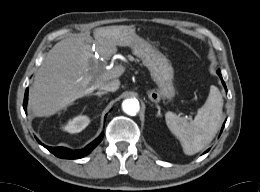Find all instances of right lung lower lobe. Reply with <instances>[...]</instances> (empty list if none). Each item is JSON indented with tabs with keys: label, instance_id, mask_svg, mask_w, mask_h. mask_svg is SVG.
<instances>
[{
	"label": "right lung lower lobe",
	"instance_id": "obj_1",
	"mask_svg": "<svg viewBox=\"0 0 260 192\" xmlns=\"http://www.w3.org/2000/svg\"><path fill=\"white\" fill-rule=\"evenodd\" d=\"M28 100V89H26L25 96H24V103L23 108L26 111V105ZM104 134L102 133L97 139H95L93 142H91L89 145H87L82 150H70L65 147H48L44 144H42L38 139L37 141L43 145L46 149H48L51 153H53L55 156L63 159H79L84 157L85 155H88L103 139Z\"/></svg>",
	"mask_w": 260,
	"mask_h": 192
}]
</instances>
